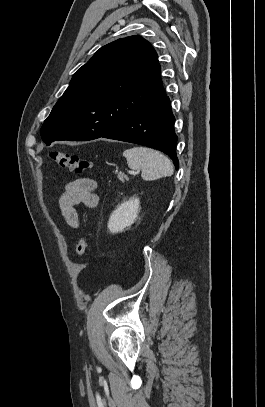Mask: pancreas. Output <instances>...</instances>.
Returning <instances> with one entry per match:
<instances>
[{
    "label": "pancreas",
    "instance_id": "cf45deb5",
    "mask_svg": "<svg viewBox=\"0 0 265 407\" xmlns=\"http://www.w3.org/2000/svg\"><path fill=\"white\" fill-rule=\"evenodd\" d=\"M118 179H119L121 182H124L125 179L128 180V177H127L124 173L119 172V173H118Z\"/></svg>",
    "mask_w": 265,
    "mask_h": 407
}]
</instances>
